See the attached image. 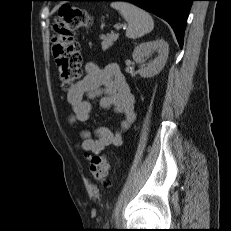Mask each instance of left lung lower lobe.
I'll return each mask as SVG.
<instances>
[{
	"label": "left lung lower lobe",
	"instance_id": "0a47b994",
	"mask_svg": "<svg viewBox=\"0 0 231 231\" xmlns=\"http://www.w3.org/2000/svg\"><path fill=\"white\" fill-rule=\"evenodd\" d=\"M61 1V0H55ZM127 1L167 21L173 28L180 47L183 46L187 17L194 0H89Z\"/></svg>",
	"mask_w": 231,
	"mask_h": 231
}]
</instances>
